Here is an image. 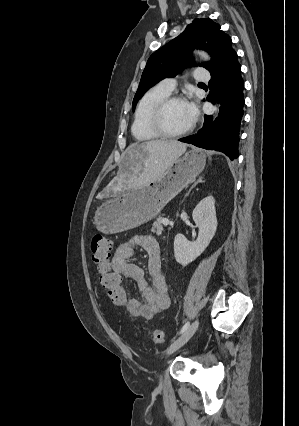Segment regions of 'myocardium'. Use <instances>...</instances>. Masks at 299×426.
Wrapping results in <instances>:
<instances>
[{
    "label": "myocardium",
    "mask_w": 299,
    "mask_h": 426,
    "mask_svg": "<svg viewBox=\"0 0 299 426\" xmlns=\"http://www.w3.org/2000/svg\"><path fill=\"white\" fill-rule=\"evenodd\" d=\"M174 102H185V99L179 95H169L162 99L154 108L151 115V126L153 130L164 138H177L188 134L193 129V121L184 129L172 132L169 131L164 123V116L167 108Z\"/></svg>",
    "instance_id": "1"
}]
</instances>
